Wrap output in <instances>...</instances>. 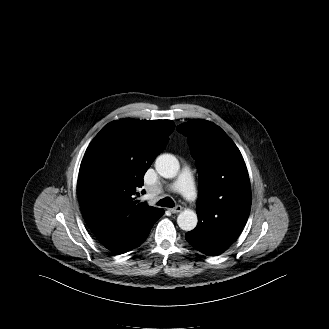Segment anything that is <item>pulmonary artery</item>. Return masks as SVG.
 <instances>
[{"mask_svg":"<svg viewBox=\"0 0 329 329\" xmlns=\"http://www.w3.org/2000/svg\"><path fill=\"white\" fill-rule=\"evenodd\" d=\"M167 189L180 193L187 200H194L197 195L193 177L189 169H183L177 179L169 184Z\"/></svg>","mask_w":329,"mask_h":329,"instance_id":"1","label":"pulmonary artery"}]
</instances>
